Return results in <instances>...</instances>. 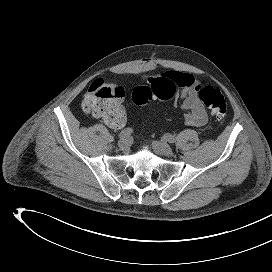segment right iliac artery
Returning a JSON list of instances; mask_svg holds the SVG:
<instances>
[{
	"label": "right iliac artery",
	"instance_id": "82829eb1",
	"mask_svg": "<svg viewBox=\"0 0 272 272\" xmlns=\"http://www.w3.org/2000/svg\"><path fill=\"white\" fill-rule=\"evenodd\" d=\"M132 132H133V129L126 128L121 131V133L119 134V137L120 138L129 137L132 134Z\"/></svg>",
	"mask_w": 272,
	"mask_h": 272
}]
</instances>
